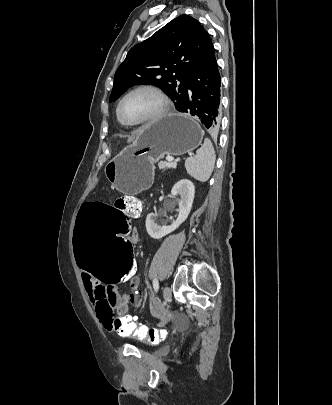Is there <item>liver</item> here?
I'll use <instances>...</instances> for the list:
<instances>
[{"instance_id":"liver-1","label":"liver","mask_w":332,"mask_h":405,"mask_svg":"<svg viewBox=\"0 0 332 405\" xmlns=\"http://www.w3.org/2000/svg\"><path fill=\"white\" fill-rule=\"evenodd\" d=\"M143 128H141V129H139L137 132H136V134H135V136L133 137V139H136L142 132H143Z\"/></svg>"}]
</instances>
